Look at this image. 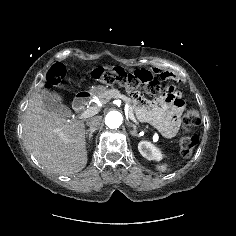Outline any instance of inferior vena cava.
Listing matches in <instances>:
<instances>
[{"label": "inferior vena cava", "instance_id": "obj_1", "mask_svg": "<svg viewBox=\"0 0 236 236\" xmlns=\"http://www.w3.org/2000/svg\"><path fill=\"white\" fill-rule=\"evenodd\" d=\"M101 121H102L101 116H95V117L89 118L86 121V124L92 129L94 128L98 129V127L101 125Z\"/></svg>", "mask_w": 236, "mask_h": 236}]
</instances>
